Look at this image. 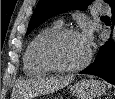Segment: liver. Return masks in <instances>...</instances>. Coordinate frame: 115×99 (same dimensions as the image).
Returning a JSON list of instances; mask_svg holds the SVG:
<instances>
[{
    "label": "liver",
    "instance_id": "6515ba94",
    "mask_svg": "<svg viewBox=\"0 0 115 99\" xmlns=\"http://www.w3.org/2000/svg\"><path fill=\"white\" fill-rule=\"evenodd\" d=\"M74 80L73 75L50 78L30 79L19 82L17 91L19 99H30L39 94H49L60 90Z\"/></svg>",
    "mask_w": 115,
    "mask_h": 99
}]
</instances>
